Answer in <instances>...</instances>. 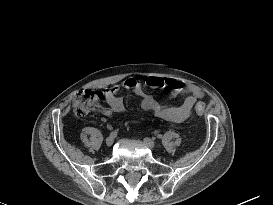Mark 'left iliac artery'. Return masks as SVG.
Listing matches in <instances>:
<instances>
[{"instance_id":"44dca946","label":"left iliac artery","mask_w":273,"mask_h":205,"mask_svg":"<svg viewBox=\"0 0 273 205\" xmlns=\"http://www.w3.org/2000/svg\"><path fill=\"white\" fill-rule=\"evenodd\" d=\"M157 138L161 139V138H162V135H161V134H158V135H157Z\"/></svg>"}]
</instances>
